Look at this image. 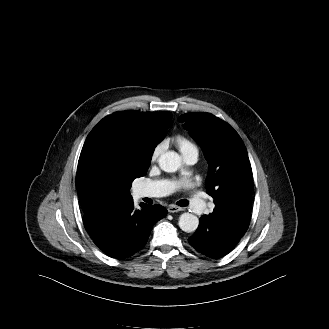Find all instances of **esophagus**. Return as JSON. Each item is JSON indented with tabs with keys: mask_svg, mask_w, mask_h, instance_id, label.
Segmentation results:
<instances>
[{
	"mask_svg": "<svg viewBox=\"0 0 329 329\" xmlns=\"http://www.w3.org/2000/svg\"><path fill=\"white\" fill-rule=\"evenodd\" d=\"M182 210H183V208L178 207L176 205H169L168 206V212H170V213L179 212V211H182Z\"/></svg>",
	"mask_w": 329,
	"mask_h": 329,
	"instance_id": "obj_1",
	"label": "esophagus"
}]
</instances>
